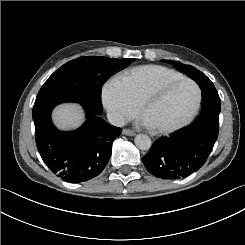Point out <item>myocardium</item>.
<instances>
[{"instance_id": "1", "label": "myocardium", "mask_w": 245, "mask_h": 245, "mask_svg": "<svg viewBox=\"0 0 245 245\" xmlns=\"http://www.w3.org/2000/svg\"><path fill=\"white\" fill-rule=\"evenodd\" d=\"M178 82H186L192 86V88L194 90L193 105H192L191 109L189 110V112L180 121H178L176 123L163 125V126H149L150 129H152L153 131H155L157 133L168 134V133H171L173 131H176V130L186 126L193 119V117L195 116V114H196V112L200 106L201 90H200L199 86L192 79L185 77V76H180V77H176V78H170V79L156 81L154 83H151L140 94V97H139L138 102H137V107H138V111L142 112L147 99L149 98V96L153 92L160 90V88H162V87L166 88V87L173 86L174 84H176Z\"/></svg>"}]
</instances>
